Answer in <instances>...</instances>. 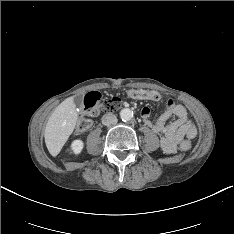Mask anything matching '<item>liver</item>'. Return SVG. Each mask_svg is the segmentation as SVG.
<instances>
[{
    "label": "liver",
    "mask_w": 234,
    "mask_h": 234,
    "mask_svg": "<svg viewBox=\"0 0 234 234\" xmlns=\"http://www.w3.org/2000/svg\"><path fill=\"white\" fill-rule=\"evenodd\" d=\"M78 114L74 98L69 97L60 103L49 117L45 127L44 138L48 151L52 156L58 155L72 134Z\"/></svg>",
    "instance_id": "1"
}]
</instances>
